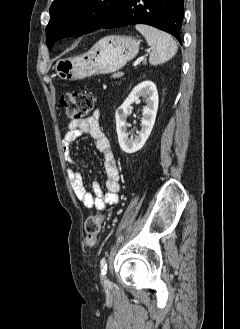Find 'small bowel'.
Segmentation results:
<instances>
[{"instance_id": "obj_1", "label": "small bowel", "mask_w": 240, "mask_h": 329, "mask_svg": "<svg viewBox=\"0 0 240 329\" xmlns=\"http://www.w3.org/2000/svg\"><path fill=\"white\" fill-rule=\"evenodd\" d=\"M83 134H88L94 140L97 150L103 156L106 191L95 182L92 186L93 192H89L85 187L81 172L76 168L78 164L71 156L73 143ZM61 147L66 161L72 166L68 169L72 189L83 205L90 209L103 211L107 206L117 204L120 192L118 163L111 143L100 126L99 113L96 111L87 118L72 120L68 125V131L62 138Z\"/></svg>"}]
</instances>
